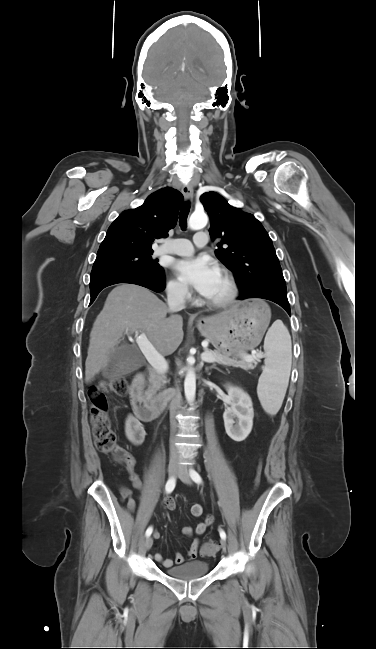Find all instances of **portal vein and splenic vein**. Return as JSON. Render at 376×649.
Here are the masks:
<instances>
[{
	"label": "portal vein and splenic vein",
	"instance_id": "obj_1",
	"mask_svg": "<svg viewBox=\"0 0 376 649\" xmlns=\"http://www.w3.org/2000/svg\"><path fill=\"white\" fill-rule=\"evenodd\" d=\"M136 341L139 345L142 353L149 362V364L160 373H165L168 370V364L165 358L157 352L153 344L148 340L145 333L136 334ZM258 356L256 355H245L242 358L247 362H254ZM202 361L207 363H212L216 361V355L212 353H206L201 356Z\"/></svg>",
	"mask_w": 376,
	"mask_h": 649
}]
</instances>
